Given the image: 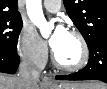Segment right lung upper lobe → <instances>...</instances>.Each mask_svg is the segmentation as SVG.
<instances>
[{"instance_id": "obj_1", "label": "right lung upper lobe", "mask_w": 107, "mask_h": 89, "mask_svg": "<svg viewBox=\"0 0 107 89\" xmlns=\"http://www.w3.org/2000/svg\"><path fill=\"white\" fill-rule=\"evenodd\" d=\"M20 17L17 10V0H0V16Z\"/></svg>"}]
</instances>
